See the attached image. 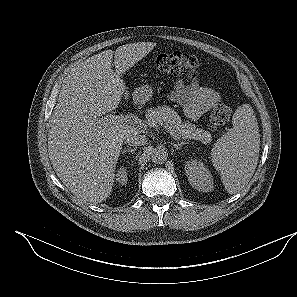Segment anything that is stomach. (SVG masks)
<instances>
[{
	"mask_svg": "<svg viewBox=\"0 0 297 297\" xmlns=\"http://www.w3.org/2000/svg\"><path fill=\"white\" fill-rule=\"evenodd\" d=\"M152 95H153V88L149 85H144L137 88L132 94L134 101L138 103H145L149 101Z\"/></svg>",
	"mask_w": 297,
	"mask_h": 297,
	"instance_id": "1",
	"label": "stomach"
}]
</instances>
